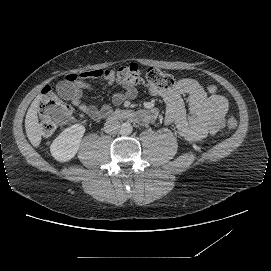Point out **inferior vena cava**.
I'll use <instances>...</instances> for the list:
<instances>
[{"mask_svg":"<svg viewBox=\"0 0 271 271\" xmlns=\"http://www.w3.org/2000/svg\"><path fill=\"white\" fill-rule=\"evenodd\" d=\"M121 124L118 119L111 117L108 118L105 125L104 131L108 134H116L120 131Z\"/></svg>","mask_w":271,"mask_h":271,"instance_id":"602c4592","label":"inferior vena cava"}]
</instances>
